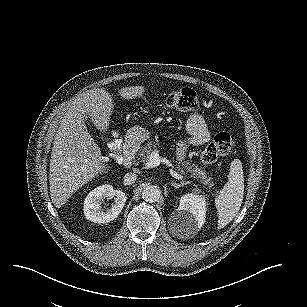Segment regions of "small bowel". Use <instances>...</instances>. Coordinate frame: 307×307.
Segmentation results:
<instances>
[{
  "label": "small bowel",
  "instance_id": "small-bowel-1",
  "mask_svg": "<svg viewBox=\"0 0 307 307\" xmlns=\"http://www.w3.org/2000/svg\"><path fill=\"white\" fill-rule=\"evenodd\" d=\"M186 129L190 134V138L178 145L177 153L180 158L183 157L189 146L202 145L210 138L207 126L200 115H191L187 119Z\"/></svg>",
  "mask_w": 307,
  "mask_h": 307
}]
</instances>
